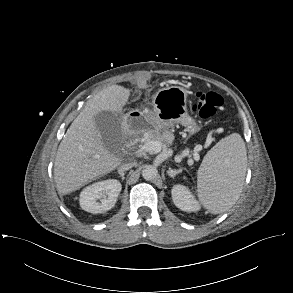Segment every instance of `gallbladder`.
Listing matches in <instances>:
<instances>
[{
	"mask_svg": "<svg viewBox=\"0 0 293 293\" xmlns=\"http://www.w3.org/2000/svg\"><path fill=\"white\" fill-rule=\"evenodd\" d=\"M95 126L106 147L113 141L120 140V120L117 114L110 111H101L95 116Z\"/></svg>",
	"mask_w": 293,
	"mask_h": 293,
	"instance_id": "1",
	"label": "gallbladder"
}]
</instances>
